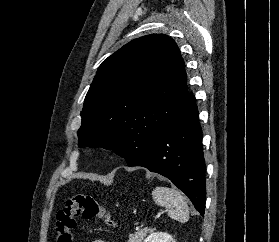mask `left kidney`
Returning <instances> with one entry per match:
<instances>
[{"label":"left kidney","mask_w":279,"mask_h":242,"mask_svg":"<svg viewBox=\"0 0 279 242\" xmlns=\"http://www.w3.org/2000/svg\"><path fill=\"white\" fill-rule=\"evenodd\" d=\"M144 242H176L171 235L164 232L151 233Z\"/></svg>","instance_id":"obj_1"}]
</instances>
